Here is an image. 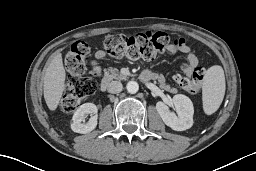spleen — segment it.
<instances>
[{
    "instance_id": "1",
    "label": "spleen",
    "mask_w": 256,
    "mask_h": 171,
    "mask_svg": "<svg viewBox=\"0 0 256 171\" xmlns=\"http://www.w3.org/2000/svg\"><path fill=\"white\" fill-rule=\"evenodd\" d=\"M225 76L219 65L210 67L202 83V103L205 114L211 115L220 107L225 95Z\"/></svg>"
}]
</instances>
